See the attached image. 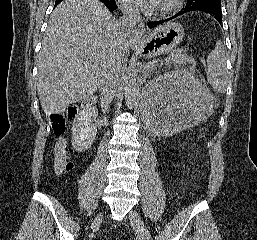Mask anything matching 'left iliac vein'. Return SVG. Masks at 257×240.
I'll return each instance as SVG.
<instances>
[{"label":"left iliac vein","mask_w":257,"mask_h":240,"mask_svg":"<svg viewBox=\"0 0 257 240\" xmlns=\"http://www.w3.org/2000/svg\"><path fill=\"white\" fill-rule=\"evenodd\" d=\"M129 219L131 225L140 236L142 240H152V236L150 231L148 230L147 226L145 225L143 219L139 215V213L135 210L130 211Z\"/></svg>","instance_id":"left-iliac-vein-1"}]
</instances>
